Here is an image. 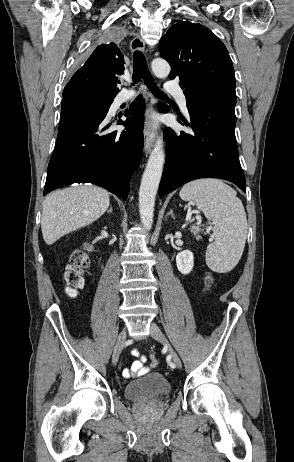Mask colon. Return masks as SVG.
I'll return each instance as SVG.
<instances>
[{
  "label": "colon",
  "mask_w": 294,
  "mask_h": 462,
  "mask_svg": "<svg viewBox=\"0 0 294 462\" xmlns=\"http://www.w3.org/2000/svg\"><path fill=\"white\" fill-rule=\"evenodd\" d=\"M89 267V259L87 255L82 250L75 251L70 259V263L66 267V272L64 275L66 283V292L69 296L73 297L76 295L77 291L81 289L84 285V272ZM212 282V278L207 276L205 279L206 287H208ZM158 359L155 355L150 356V364L156 366Z\"/></svg>",
  "instance_id": "colon-1"
}]
</instances>
